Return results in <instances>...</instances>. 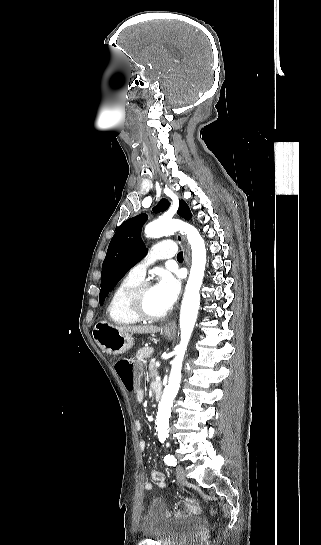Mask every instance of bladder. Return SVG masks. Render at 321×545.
<instances>
[{
    "mask_svg": "<svg viewBox=\"0 0 321 545\" xmlns=\"http://www.w3.org/2000/svg\"><path fill=\"white\" fill-rule=\"evenodd\" d=\"M201 525L195 515L176 516L171 514L164 503L154 501L142 520L143 535L161 545H186Z\"/></svg>",
    "mask_w": 321,
    "mask_h": 545,
    "instance_id": "1",
    "label": "bladder"
}]
</instances>
